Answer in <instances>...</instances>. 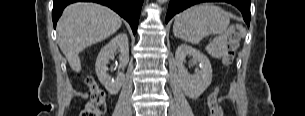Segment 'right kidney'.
Here are the masks:
<instances>
[{"instance_id":"obj_1","label":"right kidney","mask_w":305,"mask_h":116,"mask_svg":"<svg viewBox=\"0 0 305 116\" xmlns=\"http://www.w3.org/2000/svg\"><path fill=\"white\" fill-rule=\"evenodd\" d=\"M120 51V67L124 68L129 62V45L126 34L116 35L108 44H106L98 54L95 64L96 74L99 81L104 85L110 94H117L123 84L124 75L119 73L115 80L107 74V64L114 58L116 51Z\"/></svg>"}]
</instances>
